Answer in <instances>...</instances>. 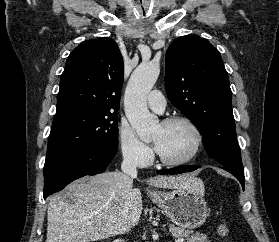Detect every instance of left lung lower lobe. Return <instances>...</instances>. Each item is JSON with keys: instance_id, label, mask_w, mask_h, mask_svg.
Masks as SVG:
<instances>
[{"instance_id": "0a47b994", "label": "left lung lower lobe", "mask_w": 279, "mask_h": 242, "mask_svg": "<svg viewBox=\"0 0 279 242\" xmlns=\"http://www.w3.org/2000/svg\"><path fill=\"white\" fill-rule=\"evenodd\" d=\"M197 168H199V166H195V165H186V166H180V167H176V168H171V169H166V170H158L157 172L159 174H181V173H185V172H191L196 170ZM223 169H225L223 167ZM226 170V169H225ZM228 172H230L231 174H233L241 183L242 188L244 190L245 187V180H244V175L242 174H238L235 173L233 171L230 170H226Z\"/></svg>"}]
</instances>
